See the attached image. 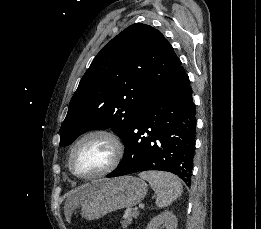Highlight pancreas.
Returning a JSON list of instances; mask_svg holds the SVG:
<instances>
[{
    "label": "pancreas",
    "instance_id": "cf45deb5",
    "mask_svg": "<svg viewBox=\"0 0 261 229\" xmlns=\"http://www.w3.org/2000/svg\"><path fill=\"white\" fill-rule=\"evenodd\" d=\"M125 215H127V219H124V221H120L121 225H122V229H127V227H129V225H131L133 219H137L138 214L133 213H125Z\"/></svg>",
    "mask_w": 261,
    "mask_h": 229
}]
</instances>
